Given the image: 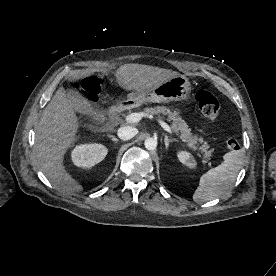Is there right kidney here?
<instances>
[{
    "label": "right kidney",
    "instance_id": "obj_1",
    "mask_svg": "<svg viewBox=\"0 0 276 276\" xmlns=\"http://www.w3.org/2000/svg\"><path fill=\"white\" fill-rule=\"evenodd\" d=\"M108 149L97 143L81 144L72 151L73 163L82 168H91L101 162L107 155Z\"/></svg>",
    "mask_w": 276,
    "mask_h": 276
}]
</instances>
